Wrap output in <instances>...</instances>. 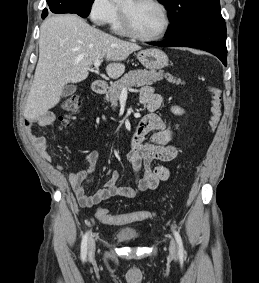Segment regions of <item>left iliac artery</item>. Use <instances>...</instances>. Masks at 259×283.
<instances>
[{
	"label": "left iliac artery",
	"instance_id": "1",
	"mask_svg": "<svg viewBox=\"0 0 259 283\" xmlns=\"http://www.w3.org/2000/svg\"><path fill=\"white\" fill-rule=\"evenodd\" d=\"M173 233H174L177 245H178V255L180 257H182L183 256V252H184L182 238H181L180 234L176 230H173Z\"/></svg>",
	"mask_w": 259,
	"mask_h": 283
}]
</instances>
